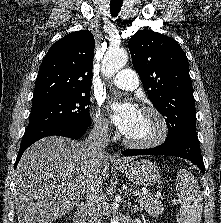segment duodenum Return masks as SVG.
<instances>
[{
  "mask_svg": "<svg viewBox=\"0 0 221 223\" xmlns=\"http://www.w3.org/2000/svg\"><path fill=\"white\" fill-rule=\"evenodd\" d=\"M87 208L84 205H79L74 216V223H86Z\"/></svg>",
  "mask_w": 221,
  "mask_h": 223,
  "instance_id": "1",
  "label": "duodenum"
}]
</instances>
